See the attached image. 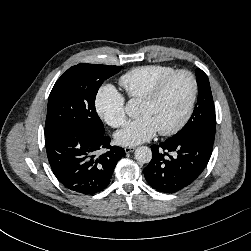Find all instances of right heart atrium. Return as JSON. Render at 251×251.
I'll return each instance as SVG.
<instances>
[{
    "label": "right heart atrium",
    "instance_id": "1",
    "mask_svg": "<svg viewBox=\"0 0 251 251\" xmlns=\"http://www.w3.org/2000/svg\"><path fill=\"white\" fill-rule=\"evenodd\" d=\"M124 97L113 86L101 87L95 97L98 115L111 127H119L125 122Z\"/></svg>",
    "mask_w": 251,
    "mask_h": 251
}]
</instances>
